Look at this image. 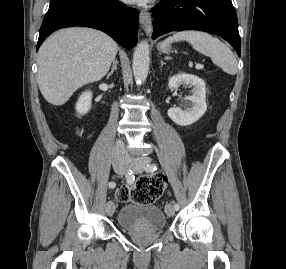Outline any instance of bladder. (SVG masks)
I'll return each mask as SVG.
<instances>
[{
  "label": "bladder",
  "mask_w": 286,
  "mask_h": 269,
  "mask_svg": "<svg viewBox=\"0 0 286 269\" xmlns=\"http://www.w3.org/2000/svg\"><path fill=\"white\" fill-rule=\"evenodd\" d=\"M117 223L127 232L163 231L167 226L160 207L138 203L124 205L118 212Z\"/></svg>",
  "instance_id": "1"
}]
</instances>
